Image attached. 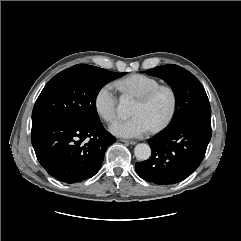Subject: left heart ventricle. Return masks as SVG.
<instances>
[{
    "label": "left heart ventricle",
    "mask_w": 241,
    "mask_h": 241,
    "mask_svg": "<svg viewBox=\"0 0 241 241\" xmlns=\"http://www.w3.org/2000/svg\"><path fill=\"white\" fill-rule=\"evenodd\" d=\"M169 108V97L166 93L159 94L154 100L148 104H142L135 101L131 114H141L149 122L151 127L158 123L166 114Z\"/></svg>",
    "instance_id": "left-heart-ventricle-1"
}]
</instances>
